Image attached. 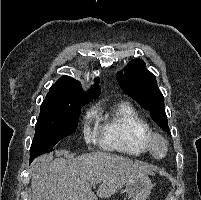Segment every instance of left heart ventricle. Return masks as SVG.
<instances>
[{
	"instance_id": "left-heart-ventricle-1",
	"label": "left heart ventricle",
	"mask_w": 201,
	"mask_h": 200,
	"mask_svg": "<svg viewBox=\"0 0 201 200\" xmlns=\"http://www.w3.org/2000/svg\"><path fill=\"white\" fill-rule=\"evenodd\" d=\"M156 153L162 155L164 153V146L161 142H158L156 145Z\"/></svg>"
}]
</instances>
